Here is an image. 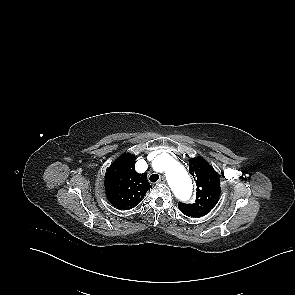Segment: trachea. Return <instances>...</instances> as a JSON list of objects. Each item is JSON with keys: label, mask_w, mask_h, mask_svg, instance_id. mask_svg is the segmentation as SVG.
I'll return each mask as SVG.
<instances>
[{"label": "trachea", "mask_w": 295, "mask_h": 295, "mask_svg": "<svg viewBox=\"0 0 295 295\" xmlns=\"http://www.w3.org/2000/svg\"><path fill=\"white\" fill-rule=\"evenodd\" d=\"M150 181L151 182H157L158 181V179H159V175L158 174H152L151 176H150Z\"/></svg>", "instance_id": "trachea-1"}]
</instances>
